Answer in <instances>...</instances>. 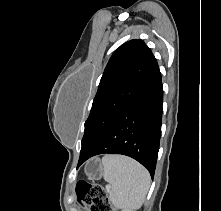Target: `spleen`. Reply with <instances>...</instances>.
<instances>
[{
    "label": "spleen",
    "mask_w": 221,
    "mask_h": 211,
    "mask_svg": "<svg viewBox=\"0 0 221 211\" xmlns=\"http://www.w3.org/2000/svg\"><path fill=\"white\" fill-rule=\"evenodd\" d=\"M103 177L111 187L109 200L117 209H137L144 203L150 186V174L135 160L121 155L102 158Z\"/></svg>",
    "instance_id": "spleen-1"
}]
</instances>
